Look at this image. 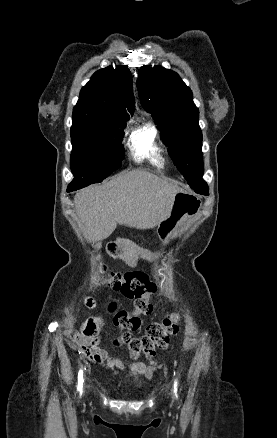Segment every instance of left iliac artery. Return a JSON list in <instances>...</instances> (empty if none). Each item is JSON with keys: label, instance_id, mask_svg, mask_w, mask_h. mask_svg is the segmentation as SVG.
<instances>
[{"label": "left iliac artery", "instance_id": "44dca946", "mask_svg": "<svg viewBox=\"0 0 277 438\" xmlns=\"http://www.w3.org/2000/svg\"><path fill=\"white\" fill-rule=\"evenodd\" d=\"M177 386H178V382L175 380V382H174V393H175L176 397H177Z\"/></svg>", "mask_w": 277, "mask_h": 438}]
</instances>
